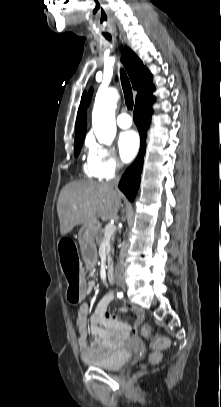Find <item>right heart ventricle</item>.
<instances>
[{
  "label": "right heart ventricle",
  "instance_id": "e07e8e85",
  "mask_svg": "<svg viewBox=\"0 0 221 407\" xmlns=\"http://www.w3.org/2000/svg\"><path fill=\"white\" fill-rule=\"evenodd\" d=\"M85 171L91 178H98L90 169L89 164L85 165Z\"/></svg>",
  "mask_w": 221,
  "mask_h": 407
}]
</instances>
